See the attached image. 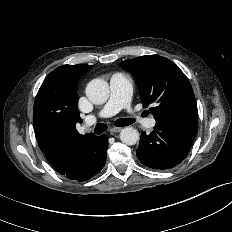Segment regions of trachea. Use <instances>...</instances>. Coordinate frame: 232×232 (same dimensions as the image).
<instances>
[{
    "label": "trachea",
    "mask_w": 232,
    "mask_h": 232,
    "mask_svg": "<svg viewBox=\"0 0 232 232\" xmlns=\"http://www.w3.org/2000/svg\"><path fill=\"white\" fill-rule=\"evenodd\" d=\"M134 122L133 119L131 118H122V119H117L114 124L116 126H119V127H122V126H127V125H130ZM107 129V125L104 124V123H98L96 124L95 128H94V132L96 134H101L103 133L104 131H106Z\"/></svg>",
    "instance_id": "trachea-1"
}]
</instances>
